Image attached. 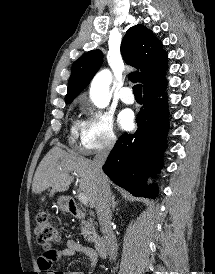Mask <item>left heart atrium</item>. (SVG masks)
Returning a JSON list of instances; mask_svg holds the SVG:
<instances>
[{
  "label": "left heart atrium",
  "instance_id": "left-heart-atrium-1",
  "mask_svg": "<svg viewBox=\"0 0 215 274\" xmlns=\"http://www.w3.org/2000/svg\"><path fill=\"white\" fill-rule=\"evenodd\" d=\"M134 115L129 109L122 110L118 116V123L123 129H128L133 124Z\"/></svg>",
  "mask_w": 215,
  "mask_h": 274
}]
</instances>
